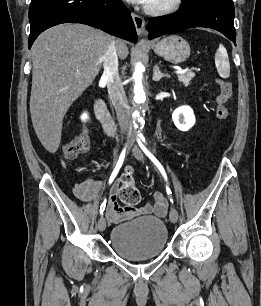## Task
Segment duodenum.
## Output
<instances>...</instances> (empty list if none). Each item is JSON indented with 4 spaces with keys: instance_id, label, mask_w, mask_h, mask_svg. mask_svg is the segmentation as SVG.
Listing matches in <instances>:
<instances>
[{
    "instance_id": "410a0bca",
    "label": "duodenum",
    "mask_w": 261,
    "mask_h": 306,
    "mask_svg": "<svg viewBox=\"0 0 261 306\" xmlns=\"http://www.w3.org/2000/svg\"><path fill=\"white\" fill-rule=\"evenodd\" d=\"M94 111L97 119L102 124L104 130L109 134L114 133L116 130L115 121L111 116L105 102L102 99L99 98L95 100Z\"/></svg>"
}]
</instances>
